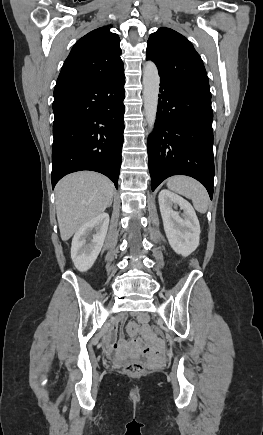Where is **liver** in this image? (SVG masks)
Listing matches in <instances>:
<instances>
[{
	"mask_svg": "<svg viewBox=\"0 0 263 435\" xmlns=\"http://www.w3.org/2000/svg\"><path fill=\"white\" fill-rule=\"evenodd\" d=\"M113 183L105 176L82 171L62 178L55 187L61 239L68 240L86 222L111 205Z\"/></svg>",
	"mask_w": 263,
	"mask_h": 435,
	"instance_id": "liver-1",
	"label": "liver"
}]
</instances>
